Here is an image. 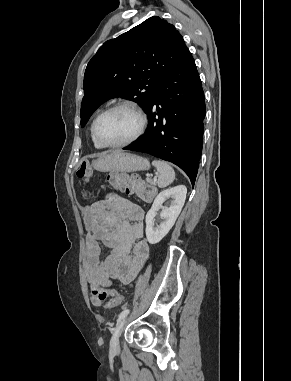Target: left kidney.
<instances>
[{
  "label": "left kidney",
  "instance_id": "obj_1",
  "mask_svg": "<svg viewBox=\"0 0 291 381\" xmlns=\"http://www.w3.org/2000/svg\"><path fill=\"white\" fill-rule=\"evenodd\" d=\"M187 188L184 185H178L160 192L146 215V237L150 244L160 242L170 231L179 216L185 203ZM170 200L168 207L164 208L160 214L162 222L154 227L155 216L162 204Z\"/></svg>",
  "mask_w": 291,
  "mask_h": 381
}]
</instances>
